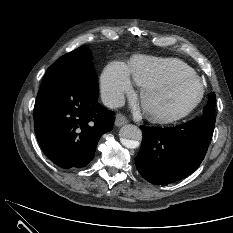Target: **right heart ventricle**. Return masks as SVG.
<instances>
[{
	"label": "right heart ventricle",
	"mask_w": 233,
	"mask_h": 233,
	"mask_svg": "<svg viewBox=\"0 0 233 233\" xmlns=\"http://www.w3.org/2000/svg\"><path fill=\"white\" fill-rule=\"evenodd\" d=\"M127 69L130 77L139 87L177 75L194 73V70L187 63L179 59L145 55L132 57Z\"/></svg>",
	"instance_id": "right-heart-ventricle-1"
}]
</instances>
